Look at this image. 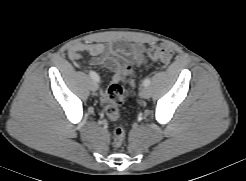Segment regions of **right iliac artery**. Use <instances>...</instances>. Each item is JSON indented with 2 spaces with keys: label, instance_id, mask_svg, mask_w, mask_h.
<instances>
[{
  "label": "right iliac artery",
  "instance_id": "82829eb1",
  "mask_svg": "<svg viewBox=\"0 0 246 181\" xmlns=\"http://www.w3.org/2000/svg\"><path fill=\"white\" fill-rule=\"evenodd\" d=\"M89 75L90 77L95 81V82H99L100 78L98 76V74L94 71H89Z\"/></svg>",
  "mask_w": 246,
  "mask_h": 181
}]
</instances>
